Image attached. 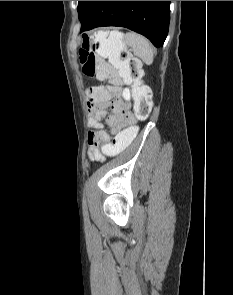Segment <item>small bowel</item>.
Instances as JSON below:
<instances>
[{"label":"small bowel","mask_w":233,"mask_h":295,"mask_svg":"<svg viewBox=\"0 0 233 295\" xmlns=\"http://www.w3.org/2000/svg\"><path fill=\"white\" fill-rule=\"evenodd\" d=\"M131 100L130 90L126 87L116 95L109 93L101 97L87 98V123L92 129L88 133L87 155L90 161L104 160L103 147L111 143V137L105 130V125L116 132L135 124L136 118L131 111Z\"/></svg>","instance_id":"c3829d8e"}]
</instances>
